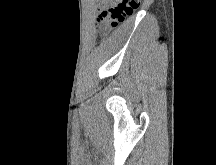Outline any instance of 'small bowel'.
I'll return each instance as SVG.
<instances>
[{"instance_id": "small-bowel-1", "label": "small bowel", "mask_w": 216, "mask_h": 165, "mask_svg": "<svg viewBox=\"0 0 216 165\" xmlns=\"http://www.w3.org/2000/svg\"><path fill=\"white\" fill-rule=\"evenodd\" d=\"M101 3H107V0H99Z\"/></svg>"}]
</instances>
